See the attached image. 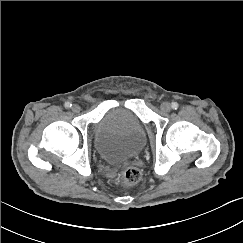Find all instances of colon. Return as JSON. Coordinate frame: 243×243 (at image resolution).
<instances>
[{
    "label": "colon",
    "mask_w": 243,
    "mask_h": 243,
    "mask_svg": "<svg viewBox=\"0 0 243 243\" xmlns=\"http://www.w3.org/2000/svg\"><path fill=\"white\" fill-rule=\"evenodd\" d=\"M119 179L127 186H132L140 181V171L132 166H124L118 172Z\"/></svg>",
    "instance_id": "5ec220e1"
}]
</instances>
